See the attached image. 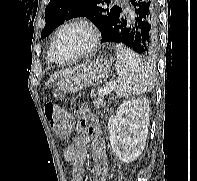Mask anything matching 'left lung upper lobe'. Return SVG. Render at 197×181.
<instances>
[{
  "label": "left lung upper lobe",
  "mask_w": 197,
  "mask_h": 181,
  "mask_svg": "<svg viewBox=\"0 0 197 181\" xmlns=\"http://www.w3.org/2000/svg\"><path fill=\"white\" fill-rule=\"evenodd\" d=\"M121 11L122 8L114 5L112 0H51L45 9L46 25L41 38L48 36L64 21L75 17L90 19L103 37Z\"/></svg>",
  "instance_id": "1"
}]
</instances>
